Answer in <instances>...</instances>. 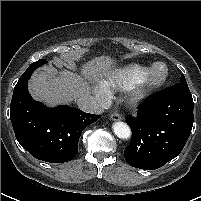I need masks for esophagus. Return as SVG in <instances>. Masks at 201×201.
I'll return each instance as SVG.
<instances>
[{
	"label": "esophagus",
	"mask_w": 201,
	"mask_h": 201,
	"mask_svg": "<svg viewBox=\"0 0 201 201\" xmlns=\"http://www.w3.org/2000/svg\"><path fill=\"white\" fill-rule=\"evenodd\" d=\"M110 119L112 121H120L121 120V115L117 112L111 113L110 114Z\"/></svg>",
	"instance_id": "34e87169"
}]
</instances>
